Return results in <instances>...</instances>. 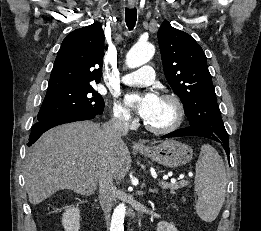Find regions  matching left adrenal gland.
Returning a JSON list of instances; mask_svg holds the SVG:
<instances>
[{"label": "left adrenal gland", "mask_w": 261, "mask_h": 231, "mask_svg": "<svg viewBox=\"0 0 261 231\" xmlns=\"http://www.w3.org/2000/svg\"><path fill=\"white\" fill-rule=\"evenodd\" d=\"M149 192L157 193V192H158V189H156V188H155V189L150 188V189H149Z\"/></svg>", "instance_id": "left-adrenal-gland-1"}]
</instances>
